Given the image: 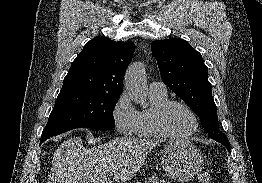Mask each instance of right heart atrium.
<instances>
[{"instance_id": "1", "label": "right heart atrium", "mask_w": 262, "mask_h": 183, "mask_svg": "<svg viewBox=\"0 0 262 183\" xmlns=\"http://www.w3.org/2000/svg\"><path fill=\"white\" fill-rule=\"evenodd\" d=\"M111 116L115 129L119 134L131 135L134 133L138 111L126 92H123L114 103Z\"/></svg>"}]
</instances>
